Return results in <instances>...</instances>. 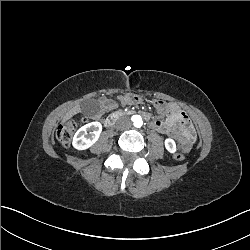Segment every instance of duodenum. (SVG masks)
Masks as SVG:
<instances>
[{
    "label": "duodenum",
    "instance_id": "1",
    "mask_svg": "<svg viewBox=\"0 0 250 250\" xmlns=\"http://www.w3.org/2000/svg\"><path fill=\"white\" fill-rule=\"evenodd\" d=\"M121 117H122V113L121 112H116V113L111 114L108 117L106 125L108 127H112Z\"/></svg>",
    "mask_w": 250,
    "mask_h": 250
}]
</instances>
